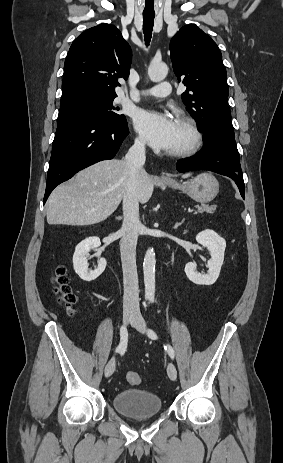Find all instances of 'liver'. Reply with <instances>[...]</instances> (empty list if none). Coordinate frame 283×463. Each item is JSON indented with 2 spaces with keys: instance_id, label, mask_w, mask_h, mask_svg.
I'll list each match as a JSON object with an SVG mask.
<instances>
[{
  "instance_id": "liver-1",
  "label": "liver",
  "mask_w": 283,
  "mask_h": 463,
  "mask_svg": "<svg viewBox=\"0 0 283 463\" xmlns=\"http://www.w3.org/2000/svg\"><path fill=\"white\" fill-rule=\"evenodd\" d=\"M189 176L191 173L182 175ZM128 178L124 159L101 161L80 171L51 193L47 201L48 224L86 226L106 220L120 204ZM153 190V178L144 172L138 194L140 203L148 202Z\"/></svg>"
}]
</instances>
